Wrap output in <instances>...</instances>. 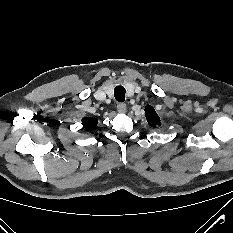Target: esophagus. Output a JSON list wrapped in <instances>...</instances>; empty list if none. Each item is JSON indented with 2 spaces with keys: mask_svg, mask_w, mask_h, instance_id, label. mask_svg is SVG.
Wrapping results in <instances>:
<instances>
[{
  "mask_svg": "<svg viewBox=\"0 0 233 233\" xmlns=\"http://www.w3.org/2000/svg\"><path fill=\"white\" fill-rule=\"evenodd\" d=\"M126 109H127V107H126V104H125V103H119V104L117 105V111H118L119 113H125V112H126Z\"/></svg>",
  "mask_w": 233,
  "mask_h": 233,
  "instance_id": "esophagus-1",
  "label": "esophagus"
}]
</instances>
